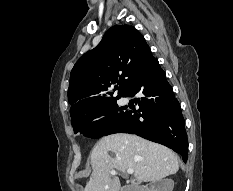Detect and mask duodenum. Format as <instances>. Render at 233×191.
<instances>
[{
  "label": "duodenum",
  "mask_w": 233,
  "mask_h": 191,
  "mask_svg": "<svg viewBox=\"0 0 233 191\" xmlns=\"http://www.w3.org/2000/svg\"><path fill=\"white\" fill-rule=\"evenodd\" d=\"M124 191H142V189L138 186H128L124 189Z\"/></svg>",
  "instance_id": "duodenum-1"
}]
</instances>
